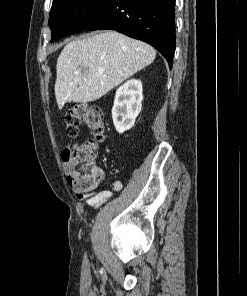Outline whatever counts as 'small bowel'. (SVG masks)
<instances>
[{"label":"small bowel","instance_id":"1","mask_svg":"<svg viewBox=\"0 0 247 296\" xmlns=\"http://www.w3.org/2000/svg\"><path fill=\"white\" fill-rule=\"evenodd\" d=\"M123 188V181L118 178L112 182V190L120 191ZM112 196V191L108 189H103L98 192H78L76 194V198L81 201H85L86 205L97 209L106 203Z\"/></svg>","mask_w":247,"mask_h":296}]
</instances>
